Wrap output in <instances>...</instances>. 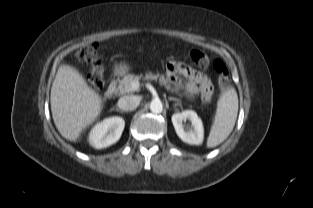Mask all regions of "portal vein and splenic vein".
Returning a JSON list of instances; mask_svg holds the SVG:
<instances>
[{"label": "portal vein and splenic vein", "mask_w": 313, "mask_h": 208, "mask_svg": "<svg viewBox=\"0 0 313 208\" xmlns=\"http://www.w3.org/2000/svg\"><path fill=\"white\" fill-rule=\"evenodd\" d=\"M132 87H133V88H138V87H139L138 81L133 82V83H132Z\"/></svg>", "instance_id": "obj_1"}]
</instances>
